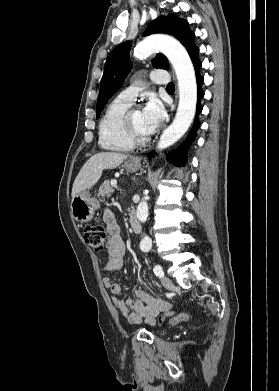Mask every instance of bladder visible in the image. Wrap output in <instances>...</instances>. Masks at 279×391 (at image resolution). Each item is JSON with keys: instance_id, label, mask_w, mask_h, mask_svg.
Here are the masks:
<instances>
[{"instance_id": "bladder-1", "label": "bladder", "mask_w": 279, "mask_h": 391, "mask_svg": "<svg viewBox=\"0 0 279 391\" xmlns=\"http://www.w3.org/2000/svg\"><path fill=\"white\" fill-rule=\"evenodd\" d=\"M161 335H165V332H161Z\"/></svg>"}]
</instances>
